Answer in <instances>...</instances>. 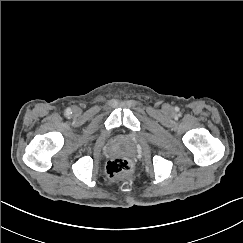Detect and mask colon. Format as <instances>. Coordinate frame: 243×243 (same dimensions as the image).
Masks as SVG:
<instances>
[{
  "label": "colon",
  "mask_w": 243,
  "mask_h": 243,
  "mask_svg": "<svg viewBox=\"0 0 243 243\" xmlns=\"http://www.w3.org/2000/svg\"><path fill=\"white\" fill-rule=\"evenodd\" d=\"M131 171V163L128 159L122 157L112 158L107 162L106 173L112 178H120Z\"/></svg>",
  "instance_id": "5ec220e1"
}]
</instances>
